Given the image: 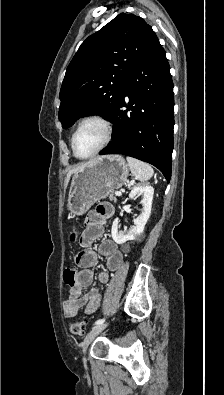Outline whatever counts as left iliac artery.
<instances>
[{
    "label": "left iliac artery",
    "instance_id": "obj_1",
    "mask_svg": "<svg viewBox=\"0 0 224 395\" xmlns=\"http://www.w3.org/2000/svg\"><path fill=\"white\" fill-rule=\"evenodd\" d=\"M104 321L105 319H98L97 321H95L94 325L102 324Z\"/></svg>",
    "mask_w": 224,
    "mask_h": 395
}]
</instances>
